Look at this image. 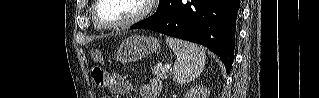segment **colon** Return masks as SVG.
<instances>
[{
  "mask_svg": "<svg viewBox=\"0 0 319 98\" xmlns=\"http://www.w3.org/2000/svg\"><path fill=\"white\" fill-rule=\"evenodd\" d=\"M91 56H92V59L96 63H98L102 58V54H101V51L99 49H92ZM92 78L97 86L104 87L106 84L107 75L104 72V70L102 69V67L100 65L96 64L92 68Z\"/></svg>",
  "mask_w": 319,
  "mask_h": 98,
  "instance_id": "1",
  "label": "colon"
}]
</instances>
